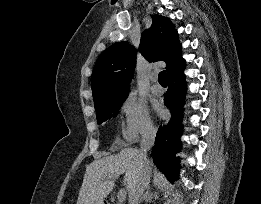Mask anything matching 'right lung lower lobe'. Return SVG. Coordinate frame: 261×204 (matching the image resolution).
Listing matches in <instances>:
<instances>
[{"label":"right lung lower lobe","mask_w":261,"mask_h":204,"mask_svg":"<svg viewBox=\"0 0 261 204\" xmlns=\"http://www.w3.org/2000/svg\"><path fill=\"white\" fill-rule=\"evenodd\" d=\"M184 68L185 64L168 75L169 88L164 97V104L170 109L172 117L167 125L159 128L152 151L155 165L170 181L177 178L179 171L176 153L181 147V105L184 103L186 89Z\"/></svg>","instance_id":"1"}]
</instances>
